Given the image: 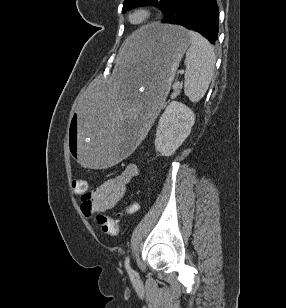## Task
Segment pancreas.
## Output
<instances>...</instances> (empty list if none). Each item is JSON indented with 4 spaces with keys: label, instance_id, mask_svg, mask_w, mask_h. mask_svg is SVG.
Wrapping results in <instances>:
<instances>
[{
    "label": "pancreas",
    "instance_id": "cf45deb5",
    "mask_svg": "<svg viewBox=\"0 0 286 308\" xmlns=\"http://www.w3.org/2000/svg\"><path fill=\"white\" fill-rule=\"evenodd\" d=\"M180 91H181V86L175 87L174 92L171 95V99H175L180 94Z\"/></svg>",
    "mask_w": 286,
    "mask_h": 308
}]
</instances>
